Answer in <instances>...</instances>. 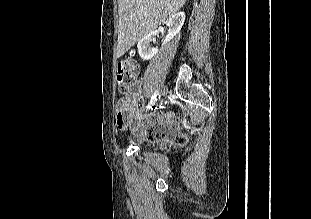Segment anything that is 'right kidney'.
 I'll list each match as a JSON object with an SVG mask.
<instances>
[{
  "mask_svg": "<svg viewBox=\"0 0 311 219\" xmlns=\"http://www.w3.org/2000/svg\"><path fill=\"white\" fill-rule=\"evenodd\" d=\"M185 21V13L179 12L175 15L171 16L170 19L167 22V25L169 27L168 35L166 39L163 42V45L167 44L170 40H172L181 30L183 24ZM157 35V31H151L147 35H145L143 38H141L137 44L138 53L139 56L143 60H149L154 55L157 54V49L151 47V41H154L155 37Z\"/></svg>",
  "mask_w": 311,
  "mask_h": 219,
  "instance_id": "right-kidney-1",
  "label": "right kidney"
}]
</instances>
